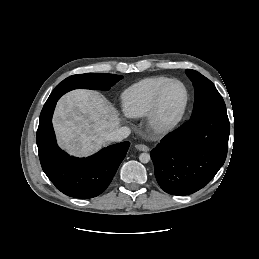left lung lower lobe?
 Segmentation results:
<instances>
[{
  "mask_svg": "<svg viewBox=\"0 0 259 259\" xmlns=\"http://www.w3.org/2000/svg\"><path fill=\"white\" fill-rule=\"evenodd\" d=\"M229 133L227 112L214 110L167 134L151 151L160 187L172 195H188L206 186L225 162Z\"/></svg>",
  "mask_w": 259,
  "mask_h": 259,
  "instance_id": "obj_1",
  "label": "left lung lower lobe"
}]
</instances>
